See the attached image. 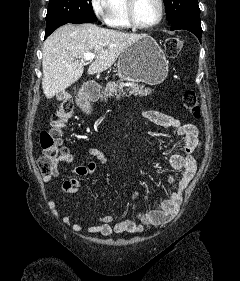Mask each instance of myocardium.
<instances>
[{"instance_id":"1","label":"myocardium","mask_w":240,"mask_h":281,"mask_svg":"<svg viewBox=\"0 0 240 281\" xmlns=\"http://www.w3.org/2000/svg\"><path fill=\"white\" fill-rule=\"evenodd\" d=\"M126 2H127L128 21L130 26L135 29H140V30L152 29L158 26L164 18V12H165L164 0H157L159 5V14L157 19L151 24H141L138 22L136 18V0H126Z\"/></svg>"}]
</instances>
